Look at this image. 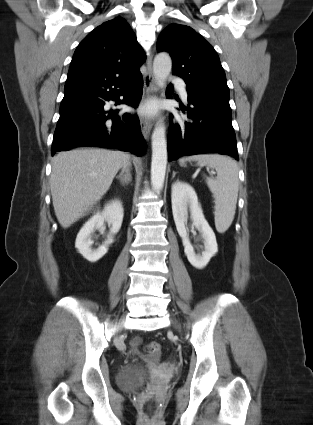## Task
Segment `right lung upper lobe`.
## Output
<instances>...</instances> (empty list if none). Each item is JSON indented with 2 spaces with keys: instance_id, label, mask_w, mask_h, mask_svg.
Masks as SVG:
<instances>
[{
  "instance_id": "obj_1",
  "label": "right lung upper lobe",
  "mask_w": 313,
  "mask_h": 425,
  "mask_svg": "<svg viewBox=\"0 0 313 425\" xmlns=\"http://www.w3.org/2000/svg\"><path fill=\"white\" fill-rule=\"evenodd\" d=\"M145 59L129 24L118 16L102 23L81 41L67 80L106 74L124 76L138 70Z\"/></svg>"
}]
</instances>
